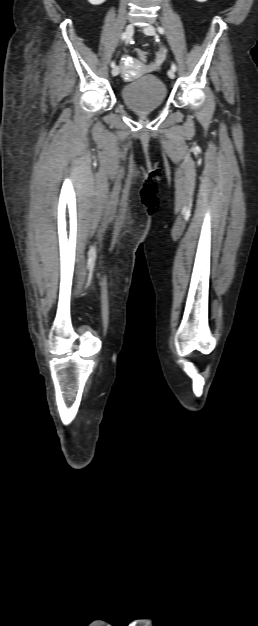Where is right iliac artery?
Wrapping results in <instances>:
<instances>
[{"mask_svg": "<svg viewBox=\"0 0 258 626\" xmlns=\"http://www.w3.org/2000/svg\"><path fill=\"white\" fill-rule=\"evenodd\" d=\"M121 39H122V41H123V40H125V33H123V34H122ZM110 65H111V67H112V68H114V67H115V65H116V64H115V61H112Z\"/></svg>", "mask_w": 258, "mask_h": 626, "instance_id": "82829eb1", "label": "right iliac artery"}]
</instances>
